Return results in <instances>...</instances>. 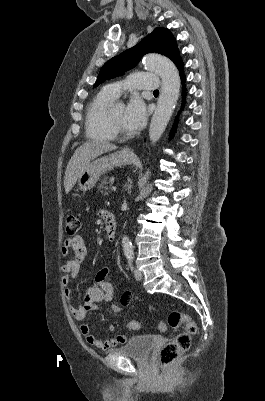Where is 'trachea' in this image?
<instances>
[{
	"label": "trachea",
	"instance_id": "1",
	"mask_svg": "<svg viewBox=\"0 0 265 401\" xmlns=\"http://www.w3.org/2000/svg\"><path fill=\"white\" fill-rule=\"evenodd\" d=\"M154 93H159V90H154Z\"/></svg>",
	"mask_w": 265,
	"mask_h": 401
}]
</instances>
